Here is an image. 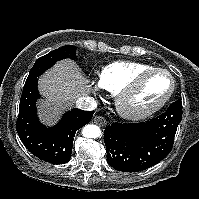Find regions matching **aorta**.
Wrapping results in <instances>:
<instances>
[{
  "label": "aorta",
  "mask_w": 199,
  "mask_h": 199,
  "mask_svg": "<svg viewBox=\"0 0 199 199\" xmlns=\"http://www.w3.org/2000/svg\"><path fill=\"white\" fill-rule=\"evenodd\" d=\"M82 135L86 138H98L101 130L97 125L89 124L83 127Z\"/></svg>",
  "instance_id": "obj_1"
}]
</instances>
